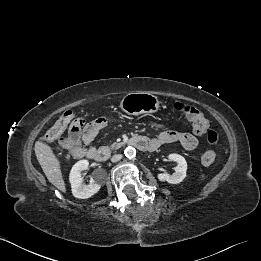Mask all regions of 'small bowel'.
<instances>
[{
	"label": "small bowel",
	"mask_w": 261,
	"mask_h": 261,
	"mask_svg": "<svg viewBox=\"0 0 261 261\" xmlns=\"http://www.w3.org/2000/svg\"><path fill=\"white\" fill-rule=\"evenodd\" d=\"M106 118H98L88 124L81 135V140H65L62 144L67 150L69 157L80 159L86 156L88 151H95L96 149L90 146L98 131L107 124ZM157 129H163L161 125H154ZM157 148L161 145L178 143L185 151H193L198 146V139L190 133H179L172 130H163L158 136L149 138Z\"/></svg>",
	"instance_id": "small-bowel-1"
}]
</instances>
